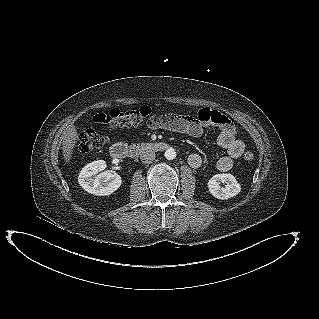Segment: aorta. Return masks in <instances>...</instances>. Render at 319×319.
Returning <instances> with one entry per match:
<instances>
[{
    "label": "aorta",
    "mask_w": 319,
    "mask_h": 319,
    "mask_svg": "<svg viewBox=\"0 0 319 319\" xmlns=\"http://www.w3.org/2000/svg\"><path fill=\"white\" fill-rule=\"evenodd\" d=\"M164 156L167 160H173L176 158V151L173 148H168L165 153Z\"/></svg>",
    "instance_id": "762f6f07"
}]
</instances>
